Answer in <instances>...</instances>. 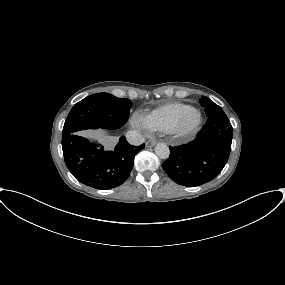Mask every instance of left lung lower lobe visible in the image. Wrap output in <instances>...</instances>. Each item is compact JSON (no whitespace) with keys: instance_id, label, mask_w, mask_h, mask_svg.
I'll return each instance as SVG.
<instances>
[{"instance_id":"left-lung-lower-lobe-1","label":"left lung lower lobe","mask_w":285,"mask_h":285,"mask_svg":"<svg viewBox=\"0 0 285 285\" xmlns=\"http://www.w3.org/2000/svg\"><path fill=\"white\" fill-rule=\"evenodd\" d=\"M232 143V126L225 114L208 117L198 136L188 144L170 146L164 171L183 186H200L213 180L224 168Z\"/></svg>"}]
</instances>
